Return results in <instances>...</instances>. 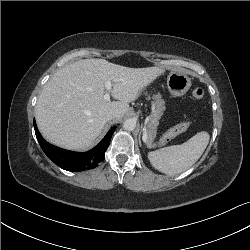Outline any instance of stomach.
Wrapping results in <instances>:
<instances>
[{
    "instance_id": "obj_1",
    "label": "stomach",
    "mask_w": 250,
    "mask_h": 250,
    "mask_svg": "<svg viewBox=\"0 0 250 250\" xmlns=\"http://www.w3.org/2000/svg\"><path fill=\"white\" fill-rule=\"evenodd\" d=\"M167 87L173 97L182 96L191 87V78L182 72H170L167 76Z\"/></svg>"
}]
</instances>
